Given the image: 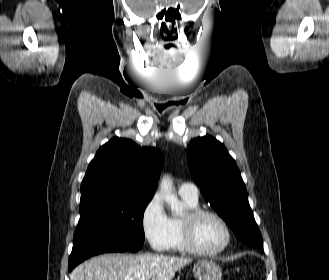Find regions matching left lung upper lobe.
Returning a JSON list of instances; mask_svg holds the SVG:
<instances>
[{
  "instance_id": "5c2ea615",
  "label": "left lung upper lobe",
  "mask_w": 329,
  "mask_h": 280,
  "mask_svg": "<svg viewBox=\"0 0 329 280\" xmlns=\"http://www.w3.org/2000/svg\"><path fill=\"white\" fill-rule=\"evenodd\" d=\"M188 149L190 173L201 187L205 200L227 221L241 241L263 247L245 184L225 146L206 135L193 139Z\"/></svg>"
}]
</instances>
